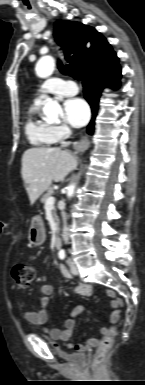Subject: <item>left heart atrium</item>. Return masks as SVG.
<instances>
[{
  "label": "left heart atrium",
  "mask_w": 145,
  "mask_h": 385,
  "mask_svg": "<svg viewBox=\"0 0 145 385\" xmlns=\"http://www.w3.org/2000/svg\"><path fill=\"white\" fill-rule=\"evenodd\" d=\"M66 121L74 127L84 126L90 117L88 104L79 97L69 98L64 103Z\"/></svg>",
  "instance_id": "1"
}]
</instances>
